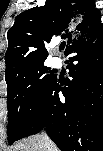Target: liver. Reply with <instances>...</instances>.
Returning <instances> with one entry per match:
<instances>
[{
    "mask_svg": "<svg viewBox=\"0 0 103 151\" xmlns=\"http://www.w3.org/2000/svg\"><path fill=\"white\" fill-rule=\"evenodd\" d=\"M43 145L42 135H35L13 146L12 151H44ZM50 149L51 151H58L54 144Z\"/></svg>",
    "mask_w": 103,
    "mask_h": 151,
    "instance_id": "liver-1",
    "label": "liver"
}]
</instances>
